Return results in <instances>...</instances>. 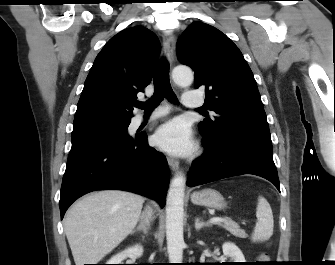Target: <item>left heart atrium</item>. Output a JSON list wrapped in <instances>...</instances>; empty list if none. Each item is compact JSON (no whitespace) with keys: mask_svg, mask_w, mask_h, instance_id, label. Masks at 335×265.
I'll list each match as a JSON object with an SVG mask.
<instances>
[{"mask_svg":"<svg viewBox=\"0 0 335 265\" xmlns=\"http://www.w3.org/2000/svg\"><path fill=\"white\" fill-rule=\"evenodd\" d=\"M154 141L161 149L176 155L186 154L192 148L189 128L180 119H174L159 127Z\"/></svg>","mask_w":335,"mask_h":265,"instance_id":"39dd6f15","label":"left heart atrium"}]
</instances>
